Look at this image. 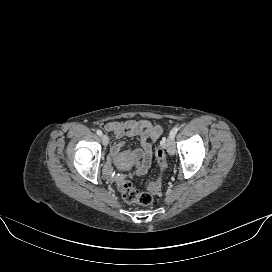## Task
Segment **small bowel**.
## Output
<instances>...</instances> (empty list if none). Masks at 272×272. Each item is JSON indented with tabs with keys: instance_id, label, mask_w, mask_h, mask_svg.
<instances>
[{
	"instance_id": "1",
	"label": "small bowel",
	"mask_w": 272,
	"mask_h": 272,
	"mask_svg": "<svg viewBox=\"0 0 272 272\" xmlns=\"http://www.w3.org/2000/svg\"><path fill=\"white\" fill-rule=\"evenodd\" d=\"M104 128L118 139L139 137L140 146L135 150L129 151L127 156L132 159H141L138 173L143 174L151 164L152 146L162 133L161 126L149 120H128L124 122H108ZM124 146V141L115 144L112 147V154L118 156Z\"/></svg>"
}]
</instances>
